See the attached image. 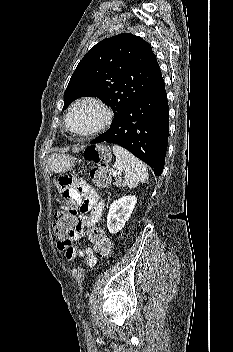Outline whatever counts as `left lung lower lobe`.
Segmentation results:
<instances>
[{"instance_id":"left-lung-lower-lobe-1","label":"left lung lower lobe","mask_w":233,"mask_h":352,"mask_svg":"<svg viewBox=\"0 0 233 352\" xmlns=\"http://www.w3.org/2000/svg\"><path fill=\"white\" fill-rule=\"evenodd\" d=\"M169 108L161 78L141 98L127 106L110 128L91 143H114L147 163L161 175L168 145Z\"/></svg>"}]
</instances>
